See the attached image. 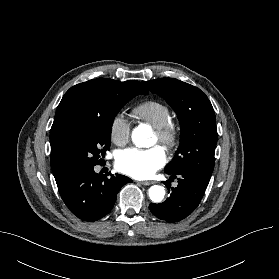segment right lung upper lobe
<instances>
[{"label":"right lung upper lobe","mask_w":279,"mask_h":279,"mask_svg":"<svg viewBox=\"0 0 279 279\" xmlns=\"http://www.w3.org/2000/svg\"><path fill=\"white\" fill-rule=\"evenodd\" d=\"M123 91L148 94L147 90L138 81L120 82L109 78H98L77 84L65 93L57 107L50 130L51 168L57 186L72 175L62 147L66 126L72 120L99 112L109 95Z\"/></svg>","instance_id":"obj_1"}]
</instances>
